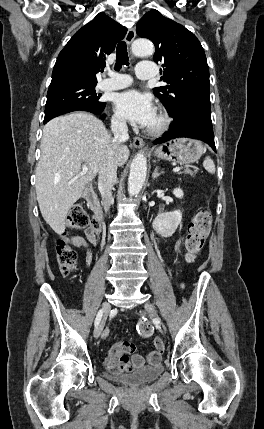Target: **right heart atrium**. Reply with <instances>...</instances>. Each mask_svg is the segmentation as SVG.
Instances as JSON below:
<instances>
[{"label":"right heart atrium","mask_w":264,"mask_h":429,"mask_svg":"<svg viewBox=\"0 0 264 429\" xmlns=\"http://www.w3.org/2000/svg\"><path fill=\"white\" fill-rule=\"evenodd\" d=\"M112 124L115 128H119V129L123 128L125 125L123 119L117 115H114L112 117Z\"/></svg>","instance_id":"right-heart-atrium-1"}]
</instances>
